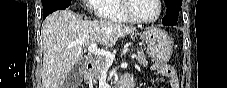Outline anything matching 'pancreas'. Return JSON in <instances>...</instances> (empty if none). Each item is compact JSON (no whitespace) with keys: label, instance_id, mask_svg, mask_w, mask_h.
I'll list each match as a JSON object with an SVG mask.
<instances>
[{"label":"pancreas","instance_id":"obj_1","mask_svg":"<svg viewBox=\"0 0 227 88\" xmlns=\"http://www.w3.org/2000/svg\"><path fill=\"white\" fill-rule=\"evenodd\" d=\"M136 59L140 64H142L144 66L148 65L146 56L142 49H137ZM107 65L108 64L106 62V59L100 58L98 65L96 67H94L87 75L88 83H96V80L100 78L101 74L103 73V71L105 70Z\"/></svg>","mask_w":227,"mask_h":88}]
</instances>
